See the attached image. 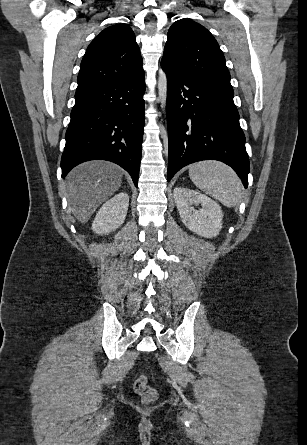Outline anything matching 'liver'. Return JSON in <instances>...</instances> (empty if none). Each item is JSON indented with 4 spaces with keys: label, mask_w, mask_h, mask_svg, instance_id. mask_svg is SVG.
I'll return each mask as SVG.
<instances>
[{
    "label": "liver",
    "mask_w": 307,
    "mask_h": 445,
    "mask_svg": "<svg viewBox=\"0 0 307 445\" xmlns=\"http://www.w3.org/2000/svg\"><path fill=\"white\" fill-rule=\"evenodd\" d=\"M121 180L120 166L107 160L83 162L67 174L65 196L81 225L88 223L97 206L118 190Z\"/></svg>",
    "instance_id": "1"
}]
</instances>
